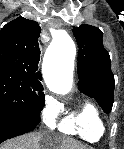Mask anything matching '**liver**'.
Wrapping results in <instances>:
<instances>
[{"label":"liver","instance_id":"obj_1","mask_svg":"<svg viewBox=\"0 0 124 149\" xmlns=\"http://www.w3.org/2000/svg\"><path fill=\"white\" fill-rule=\"evenodd\" d=\"M42 145V146H41ZM86 149L85 146L69 138H61L48 133H30L5 143L0 149Z\"/></svg>","mask_w":124,"mask_h":149}]
</instances>
